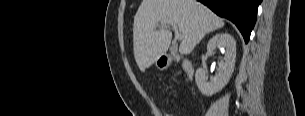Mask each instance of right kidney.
I'll return each mask as SVG.
<instances>
[{"instance_id":"right-kidney-1","label":"right kidney","mask_w":305,"mask_h":116,"mask_svg":"<svg viewBox=\"0 0 305 116\" xmlns=\"http://www.w3.org/2000/svg\"><path fill=\"white\" fill-rule=\"evenodd\" d=\"M218 48L224 52V58L218 62L217 74L208 82L204 68L197 69L195 80L198 89L205 96H211L221 91L229 82L235 67L236 41L228 33H219L213 36L207 45V52L212 54Z\"/></svg>"}]
</instances>
